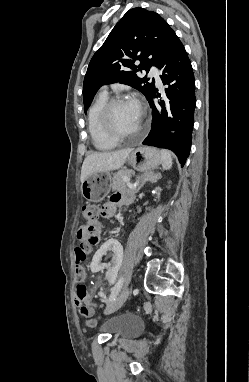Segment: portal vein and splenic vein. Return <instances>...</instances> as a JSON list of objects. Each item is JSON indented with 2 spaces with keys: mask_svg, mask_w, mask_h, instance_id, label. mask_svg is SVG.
I'll return each mask as SVG.
<instances>
[{
  "mask_svg": "<svg viewBox=\"0 0 249 382\" xmlns=\"http://www.w3.org/2000/svg\"><path fill=\"white\" fill-rule=\"evenodd\" d=\"M123 180L126 182V184H127V186H128L129 188H135V187L137 186V183L132 184V183L130 182V178H128V177H124Z\"/></svg>",
  "mask_w": 249,
  "mask_h": 382,
  "instance_id": "1",
  "label": "portal vein and splenic vein"
}]
</instances>
